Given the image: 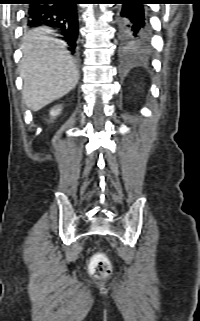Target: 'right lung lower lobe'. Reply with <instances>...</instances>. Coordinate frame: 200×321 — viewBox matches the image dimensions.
I'll list each match as a JSON object with an SVG mask.
<instances>
[{
  "label": "right lung lower lobe",
  "mask_w": 200,
  "mask_h": 321,
  "mask_svg": "<svg viewBox=\"0 0 200 321\" xmlns=\"http://www.w3.org/2000/svg\"><path fill=\"white\" fill-rule=\"evenodd\" d=\"M78 3L79 0H27L26 25L52 28L74 52L78 38Z\"/></svg>",
  "instance_id": "1"
}]
</instances>
